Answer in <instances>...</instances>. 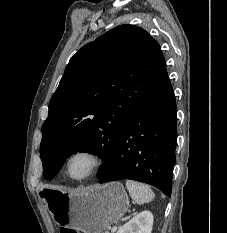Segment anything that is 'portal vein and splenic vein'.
I'll return each mask as SVG.
<instances>
[{
  "instance_id": "18ae733b",
  "label": "portal vein and splenic vein",
  "mask_w": 227,
  "mask_h": 233,
  "mask_svg": "<svg viewBox=\"0 0 227 233\" xmlns=\"http://www.w3.org/2000/svg\"><path fill=\"white\" fill-rule=\"evenodd\" d=\"M118 227H119V224L113 226L112 229H111V233H114L117 230Z\"/></svg>"
}]
</instances>
